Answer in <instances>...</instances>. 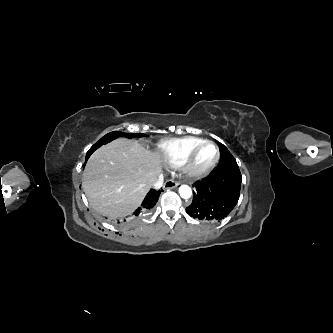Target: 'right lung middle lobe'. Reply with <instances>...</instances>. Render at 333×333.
<instances>
[{
	"label": "right lung middle lobe",
	"mask_w": 333,
	"mask_h": 333,
	"mask_svg": "<svg viewBox=\"0 0 333 333\" xmlns=\"http://www.w3.org/2000/svg\"><path fill=\"white\" fill-rule=\"evenodd\" d=\"M123 134H124L123 132H117V131L108 133L104 137H102L96 144H94L91 148H93V150L95 151L97 148H99L103 144H106V143L114 140L118 136L123 135ZM127 136L129 138H132V137H141V133H136V134H129L128 133Z\"/></svg>",
	"instance_id": "right-lung-middle-lobe-1"
}]
</instances>
